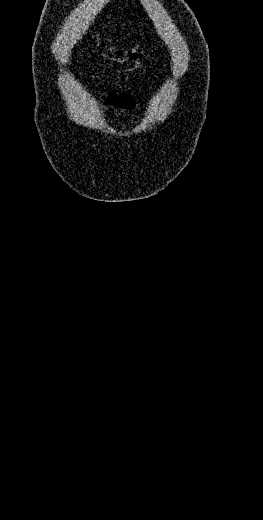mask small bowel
Here are the masks:
<instances>
[{
	"label": "small bowel",
	"instance_id": "c3829d8e",
	"mask_svg": "<svg viewBox=\"0 0 263 520\" xmlns=\"http://www.w3.org/2000/svg\"><path fill=\"white\" fill-rule=\"evenodd\" d=\"M103 99H105L110 105L118 108L123 114L133 110L135 107V100L130 94L119 92L117 90L105 94Z\"/></svg>",
	"mask_w": 263,
	"mask_h": 520
}]
</instances>
